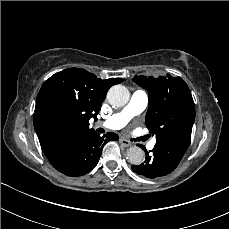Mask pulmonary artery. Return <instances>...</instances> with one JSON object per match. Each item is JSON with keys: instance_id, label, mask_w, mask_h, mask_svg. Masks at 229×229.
I'll list each match as a JSON object with an SVG mask.
<instances>
[{"instance_id": "pulmonary-artery-1", "label": "pulmonary artery", "mask_w": 229, "mask_h": 229, "mask_svg": "<svg viewBox=\"0 0 229 229\" xmlns=\"http://www.w3.org/2000/svg\"><path fill=\"white\" fill-rule=\"evenodd\" d=\"M148 105L147 93L143 90L135 91L126 106L117 113H114L109 119L103 122H98L99 126L109 130H119L123 128L134 116L142 113ZM155 142H150L148 148L152 149Z\"/></svg>"}]
</instances>
